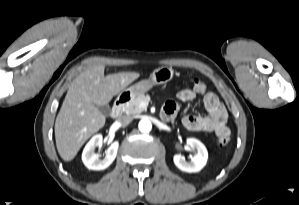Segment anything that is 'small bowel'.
I'll list each match as a JSON object with an SVG mask.
<instances>
[{
    "instance_id": "small-bowel-1",
    "label": "small bowel",
    "mask_w": 299,
    "mask_h": 205,
    "mask_svg": "<svg viewBox=\"0 0 299 205\" xmlns=\"http://www.w3.org/2000/svg\"><path fill=\"white\" fill-rule=\"evenodd\" d=\"M195 96V92L191 89H183L177 93V99L181 102L191 101ZM203 105L208 115H185L182 118L183 126L191 131L214 133L218 137L230 134V129L227 125L228 114L218 97L213 93H206L203 96ZM178 111V102L171 100L165 103L162 114H167L169 119H171L176 116Z\"/></svg>"
}]
</instances>
